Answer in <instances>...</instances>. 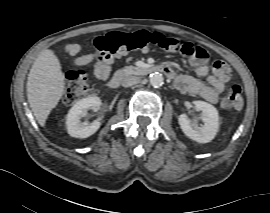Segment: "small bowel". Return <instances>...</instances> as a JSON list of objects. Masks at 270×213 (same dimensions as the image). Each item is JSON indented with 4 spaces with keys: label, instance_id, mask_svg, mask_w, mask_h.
Returning a JSON list of instances; mask_svg holds the SVG:
<instances>
[{
    "label": "small bowel",
    "instance_id": "c3829d8e",
    "mask_svg": "<svg viewBox=\"0 0 270 213\" xmlns=\"http://www.w3.org/2000/svg\"><path fill=\"white\" fill-rule=\"evenodd\" d=\"M172 49L170 51L176 50ZM67 54L74 56L81 51L79 44H68L65 48ZM95 59L94 53H87L76 58L77 66H85L92 63ZM190 64L193 67L197 76L204 78L206 83L193 76L177 74L176 71L168 65V68L173 73L172 79H175L177 88L198 95L209 102L215 103L218 96L223 92L225 85L229 81V77L221 78L214 71V65L211 66L206 59H197L194 56L190 57ZM213 71V73H211ZM94 76L102 82H107L112 73L111 66L107 63L96 62L93 66Z\"/></svg>",
    "mask_w": 270,
    "mask_h": 213
}]
</instances>
